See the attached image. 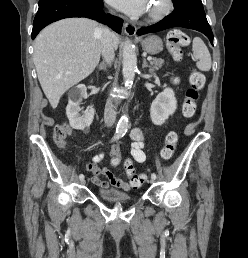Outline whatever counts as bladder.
Returning <instances> with one entry per match:
<instances>
[{
  "label": "bladder",
  "instance_id": "31cf9c89",
  "mask_svg": "<svg viewBox=\"0 0 248 258\" xmlns=\"http://www.w3.org/2000/svg\"><path fill=\"white\" fill-rule=\"evenodd\" d=\"M98 195L112 203H126L132 199V195L115 190L113 188H101L98 190Z\"/></svg>",
  "mask_w": 248,
  "mask_h": 258
}]
</instances>
